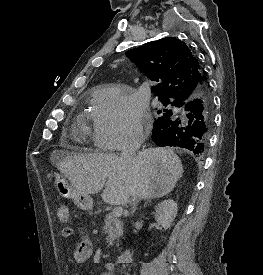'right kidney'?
I'll return each mask as SVG.
<instances>
[{
	"mask_svg": "<svg viewBox=\"0 0 263 275\" xmlns=\"http://www.w3.org/2000/svg\"><path fill=\"white\" fill-rule=\"evenodd\" d=\"M178 211L177 203L172 199L160 202L155 207V219L165 230L170 228Z\"/></svg>",
	"mask_w": 263,
	"mask_h": 275,
	"instance_id": "obj_1",
	"label": "right kidney"
}]
</instances>
